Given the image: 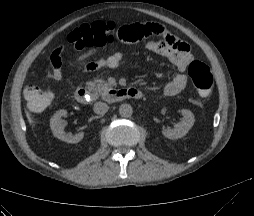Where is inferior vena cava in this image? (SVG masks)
<instances>
[{
	"label": "inferior vena cava",
	"mask_w": 254,
	"mask_h": 216,
	"mask_svg": "<svg viewBox=\"0 0 254 216\" xmlns=\"http://www.w3.org/2000/svg\"><path fill=\"white\" fill-rule=\"evenodd\" d=\"M109 109V106L103 102H97L94 104V112L99 115H104Z\"/></svg>",
	"instance_id": "obj_1"
}]
</instances>
